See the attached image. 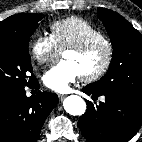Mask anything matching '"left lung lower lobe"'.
<instances>
[{"label": "left lung lower lobe", "mask_w": 142, "mask_h": 142, "mask_svg": "<svg viewBox=\"0 0 142 142\" xmlns=\"http://www.w3.org/2000/svg\"><path fill=\"white\" fill-rule=\"evenodd\" d=\"M83 92L92 97L105 96L94 105L86 100L87 110L79 125L88 142H127L142 124V95L128 91L98 92L88 85Z\"/></svg>", "instance_id": "0a47b994"}]
</instances>
